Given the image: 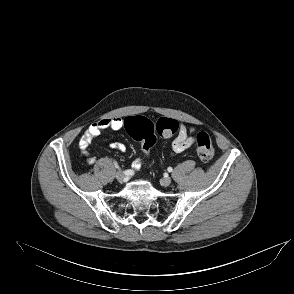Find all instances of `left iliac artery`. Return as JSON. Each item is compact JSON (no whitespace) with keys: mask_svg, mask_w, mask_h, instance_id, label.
I'll use <instances>...</instances> for the list:
<instances>
[{"mask_svg":"<svg viewBox=\"0 0 294 294\" xmlns=\"http://www.w3.org/2000/svg\"><path fill=\"white\" fill-rule=\"evenodd\" d=\"M167 170H168L169 173L173 172V169L171 167H169Z\"/></svg>","mask_w":294,"mask_h":294,"instance_id":"44dca946","label":"left iliac artery"}]
</instances>
